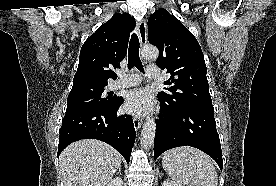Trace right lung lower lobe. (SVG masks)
<instances>
[{
    "instance_id": "obj_1",
    "label": "right lung lower lobe",
    "mask_w": 276,
    "mask_h": 186,
    "mask_svg": "<svg viewBox=\"0 0 276 186\" xmlns=\"http://www.w3.org/2000/svg\"><path fill=\"white\" fill-rule=\"evenodd\" d=\"M122 97L107 108H86L66 112L59 130L58 156L70 143L98 139L114 147L127 162L135 142V128L130 115L117 116Z\"/></svg>"
}]
</instances>
